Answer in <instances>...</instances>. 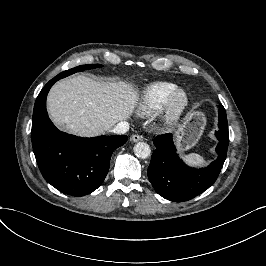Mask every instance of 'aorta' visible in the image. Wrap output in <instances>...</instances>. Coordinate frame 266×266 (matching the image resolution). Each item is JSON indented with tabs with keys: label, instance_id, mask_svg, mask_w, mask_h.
<instances>
[{
	"label": "aorta",
	"instance_id": "obj_1",
	"mask_svg": "<svg viewBox=\"0 0 266 266\" xmlns=\"http://www.w3.org/2000/svg\"><path fill=\"white\" fill-rule=\"evenodd\" d=\"M133 151L137 157L142 159L149 157L151 154L150 146L145 142H138L135 144Z\"/></svg>",
	"mask_w": 266,
	"mask_h": 266
}]
</instances>
